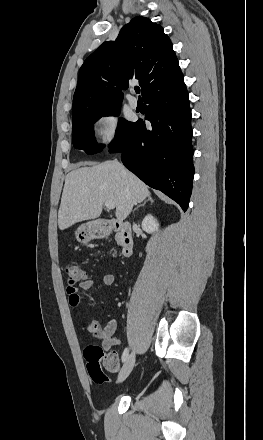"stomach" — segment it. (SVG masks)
Segmentation results:
<instances>
[{"instance_id": "1", "label": "stomach", "mask_w": 263, "mask_h": 440, "mask_svg": "<svg viewBox=\"0 0 263 440\" xmlns=\"http://www.w3.org/2000/svg\"><path fill=\"white\" fill-rule=\"evenodd\" d=\"M97 234V227L95 222H88L85 225H82L78 229L77 235L82 237L83 239H88Z\"/></svg>"}]
</instances>
